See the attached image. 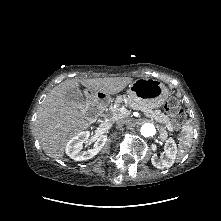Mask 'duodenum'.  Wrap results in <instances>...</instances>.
<instances>
[{"mask_svg":"<svg viewBox=\"0 0 221 221\" xmlns=\"http://www.w3.org/2000/svg\"><path fill=\"white\" fill-rule=\"evenodd\" d=\"M83 95L86 98L87 106L89 108L98 106V111H100L101 107L99 105L107 101L109 93L104 88H101L96 92L94 88L88 87L84 90ZM87 115L92 117L94 116V112L89 110L87 111Z\"/></svg>","mask_w":221,"mask_h":221,"instance_id":"410a0bca","label":"duodenum"}]
</instances>
